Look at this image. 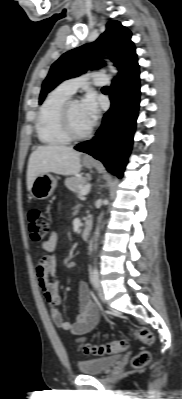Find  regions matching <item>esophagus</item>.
Here are the masks:
<instances>
[{
  "label": "esophagus",
  "instance_id": "esophagus-1",
  "mask_svg": "<svg viewBox=\"0 0 182 399\" xmlns=\"http://www.w3.org/2000/svg\"><path fill=\"white\" fill-rule=\"evenodd\" d=\"M84 158H85V159H90V156L85 155Z\"/></svg>",
  "mask_w": 182,
  "mask_h": 399
}]
</instances>
